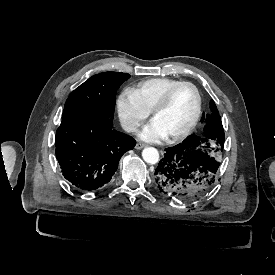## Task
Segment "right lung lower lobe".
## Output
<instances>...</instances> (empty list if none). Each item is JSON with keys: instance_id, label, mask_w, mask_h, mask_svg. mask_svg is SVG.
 I'll return each instance as SVG.
<instances>
[{"instance_id": "right-lung-lower-lobe-1", "label": "right lung lower lobe", "mask_w": 275, "mask_h": 275, "mask_svg": "<svg viewBox=\"0 0 275 275\" xmlns=\"http://www.w3.org/2000/svg\"><path fill=\"white\" fill-rule=\"evenodd\" d=\"M136 141L113 129L112 123L82 114L62 116L56 132L55 153L63 176L81 191H94L107 184L122 155Z\"/></svg>"}]
</instances>
